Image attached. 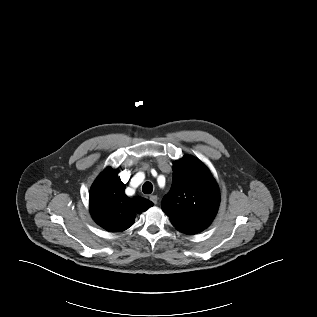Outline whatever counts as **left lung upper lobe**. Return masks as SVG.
<instances>
[{"label":"left lung upper lobe","instance_id":"obj_1","mask_svg":"<svg viewBox=\"0 0 317 317\" xmlns=\"http://www.w3.org/2000/svg\"><path fill=\"white\" fill-rule=\"evenodd\" d=\"M219 200L217 184L207 167L185 156L174 164L172 187L161 206L176 229L200 232L212 222Z\"/></svg>","mask_w":317,"mask_h":317}]
</instances>
